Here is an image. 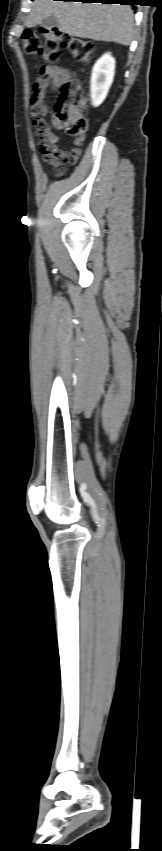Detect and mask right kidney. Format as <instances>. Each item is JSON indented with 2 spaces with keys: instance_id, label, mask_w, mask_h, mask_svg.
Segmentation results:
<instances>
[{
  "instance_id": "obj_1",
  "label": "right kidney",
  "mask_w": 162,
  "mask_h": 851,
  "mask_svg": "<svg viewBox=\"0 0 162 851\" xmlns=\"http://www.w3.org/2000/svg\"><path fill=\"white\" fill-rule=\"evenodd\" d=\"M115 73V59L110 53H105L97 60L91 74V103L99 106L107 96Z\"/></svg>"
}]
</instances>
